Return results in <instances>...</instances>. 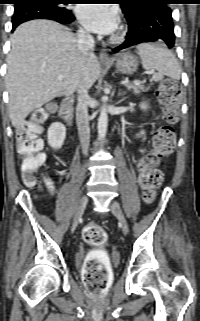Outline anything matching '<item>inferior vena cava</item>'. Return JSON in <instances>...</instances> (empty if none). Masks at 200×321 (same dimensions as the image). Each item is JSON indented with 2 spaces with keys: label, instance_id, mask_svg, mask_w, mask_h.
Wrapping results in <instances>:
<instances>
[{
  "label": "inferior vena cava",
  "instance_id": "1",
  "mask_svg": "<svg viewBox=\"0 0 200 321\" xmlns=\"http://www.w3.org/2000/svg\"><path fill=\"white\" fill-rule=\"evenodd\" d=\"M93 36L87 31L80 29L77 32V45L79 51L86 55L88 52L93 51L94 48ZM90 96L88 94V86L85 84L80 85L78 88L77 107H76V123L78 127V134L84 155L88 154L90 144V128L88 106L90 104Z\"/></svg>",
  "mask_w": 200,
  "mask_h": 321
}]
</instances>
